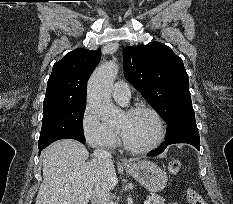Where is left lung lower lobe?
<instances>
[{"label": "left lung lower lobe", "mask_w": 233, "mask_h": 204, "mask_svg": "<svg viewBox=\"0 0 233 204\" xmlns=\"http://www.w3.org/2000/svg\"><path fill=\"white\" fill-rule=\"evenodd\" d=\"M174 143H188L195 146L198 150L200 149V142H199V132L197 130H184L176 133L169 139H165V141L161 144V146L150 152L148 156H156L162 153L165 148Z\"/></svg>", "instance_id": "1"}]
</instances>
